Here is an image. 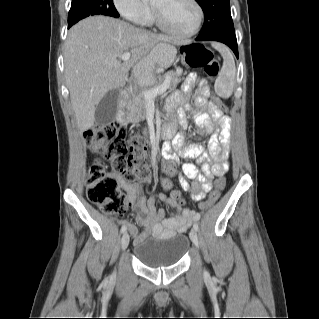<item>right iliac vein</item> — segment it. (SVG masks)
Segmentation results:
<instances>
[{"instance_id":"right-iliac-vein-1","label":"right iliac vein","mask_w":319,"mask_h":319,"mask_svg":"<svg viewBox=\"0 0 319 319\" xmlns=\"http://www.w3.org/2000/svg\"><path fill=\"white\" fill-rule=\"evenodd\" d=\"M130 236L127 232H125L121 238V250L124 251L129 245Z\"/></svg>"}]
</instances>
